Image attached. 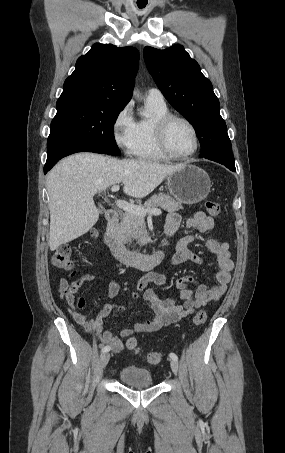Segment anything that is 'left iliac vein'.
Masks as SVG:
<instances>
[{
  "label": "left iliac vein",
  "instance_id": "1",
  "mask_svg": "<svg viewBox=\"0 0 285 453\" xmlns=\"http://www.w3.org/2000/svg\"><path fill=\"white\" fill-rule=\"evenodd\" d=\"M170 366H171V369H172L173 373L176 375L178 373V370H179L178 361L172 359L171 362H170Z\"/></svg>",
  "mask_w": 285,
  "mask_h": 453
}]
</instances>
